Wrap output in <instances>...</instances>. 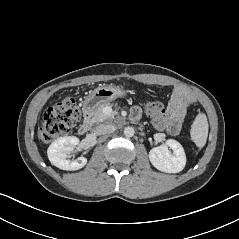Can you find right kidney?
I'll use <instances>...</instances> for the list:
<instances>
[{
	"instance_id": "1",
	"label": "right kidney",
	"mask_w": 239,
	"mask_h": 239,
	"mask_svg": "<svg viewBox=\"0 0 239 239\" xmlns=\"http://www.w3.org/2000/svg\"><path fill=\"white\" fill-rule=\"evenodd\" d=\"M79 144V139L74 136H65L56 139L48 148L47 154L52 165L62 170L74 171L83 168L87 159L79 157L71 161L68 159L70 152Z\"/></svg>"
}]
</instances>
